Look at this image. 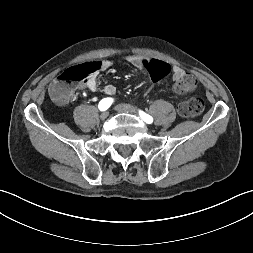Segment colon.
I'll return each mask as SVG.
<instances>
[{
    "label": "colon",
    "mask_w": 253,
    "mask_h": 253,
    "mask_svg": "<svg viewBox=\"0 0 253 253\" xmlns=\"http://www.w3.org/2000/svg\"><path fill=\"white\" fill-rule=\"evenodd\" d=\"M98 68L96 62L85 63L68 68L60 74L51 87V96L58 103L67 102L73 91V86L93 74ZM151 82L149 86L155 88L161 83V79L170 73V66L162 61L154 60L149 65ZM197 86L196 78L188 73L181 75L174 83L173 90L177 94H186ZM204 109L203 100L197 97L183 101L178 106L180 115L192 117L200 114Z\"/></svg>",
    "instance_id": "obj_1"
}]
</instances>
